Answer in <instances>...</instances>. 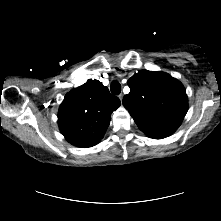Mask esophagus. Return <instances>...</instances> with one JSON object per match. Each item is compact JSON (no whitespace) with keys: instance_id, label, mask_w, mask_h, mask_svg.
<instances>
[{"instance_id":"esophagus-1","label":"esophagus","mask_w":221,"mask_h":221,"mask_svg":"<svg viewBox=\"0 0 221 221\" xmlns=\"http://www.w3.org/2000/svg\"><path fill=\"white\" fill-rule=\"evenodd\" d=\"M119 99L122 102V99H123V94L122 93L119 95Z\"/></svg>"}]
</instances>
